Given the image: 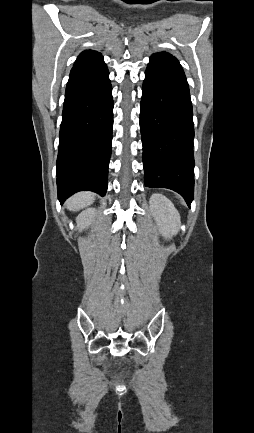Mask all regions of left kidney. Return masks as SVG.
<instances>
[{
  "label": "left kidney",
  "mask_w": 254,
  "mask_h": 433,
  "mask_svg": "<svg viewBox=\"0 0 254 433\" xmlns=\"http://www.w3.org/2000/svg\"><path fill=\"white\" fill-rule=\"evenodd\" d=\"M150 208L162 234L176 235L180 228V215L172 202L162 194L154 193L150 198Z\"/></svg>",
  "instance_id": "5707ae66"
}]
</instances>
